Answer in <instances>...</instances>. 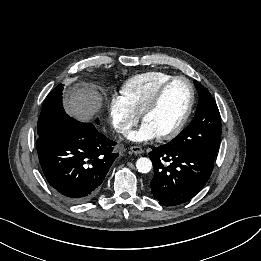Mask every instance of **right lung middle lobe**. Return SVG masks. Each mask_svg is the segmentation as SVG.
I'll use <instances>...</instances> for the list:
<instances>
[{
  "label": "right lung middle lobe",
  "instance_id": "dd1d6c3e",
  "mask_svg": "<svg viewBox=\"0 0 261 261\" xmlns=\"http://www.w3.org/2000/svg\"><path fill=\"white\" fill-rule=\"evenodd\" d=\"M63 86L58 85L45 99L38 120L37 133L43 137L54 131L62 123L71 119L62 105ZM98 122V121H97Z\"/></svg>",
  "mask_w": 261,
  "mask_h": 261
}]
</instances>
